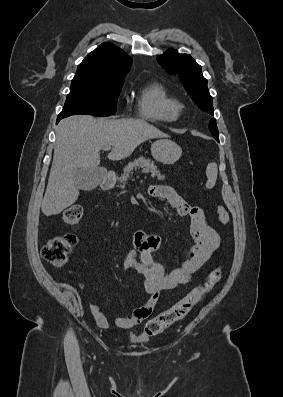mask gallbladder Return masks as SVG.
<instances>
[{"label": "gallbladder", "instance_id": "1", "mask_svg": "<svg viewBox=\"0 0 283 397\" xmlns=\"http://www.w3.org/2000/svg\"><path fill=\"white\" fill-rule=\"evenodd\" d=\"M104 170L99 168H79L75 173V182L84 191L95 189L102 181Z\"/></svg>", "mask_w": 283, "mask_h": 397}]
</instances>
